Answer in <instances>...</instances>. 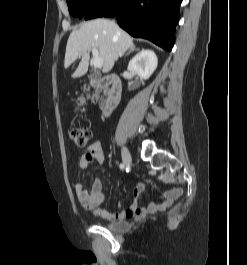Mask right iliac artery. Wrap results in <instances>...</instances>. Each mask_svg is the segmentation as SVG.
Here are the masks:
<instances>
[{
    "label": "right iliac artery",
    "mask_w": 247,
    "mask_h": 265,
    "mask_svg": "<svg viewBox=\"0 0 247 265\" xmlns=\"http://www.w3.org/2000/svg\"><path fill=\"white\" fill-rule=\"evenodd\" d=\"M120 168L123 169L124 168V164H120Z\"/></svg>",
    "instance_id": "1"
}]
</instances>
